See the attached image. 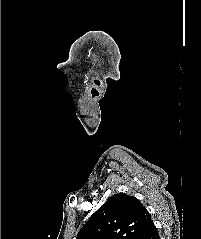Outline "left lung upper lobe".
Wrapping results in <instances>:
<instances>
[{"mask_svg":"<svg viewBox=\"0 0 201 239\" xmlns=\"http://www.w3.org/2000/svg\"><path fill=\"white\" fill-rule=\"evenodd\" d=\"M151 221L137 198L118 193L89 218L76 239H138Z\"/></svg>","mask_w":201,"mask_h":239,"instance_id":"1","label":"left lung upper lobe"}]
</instances>
